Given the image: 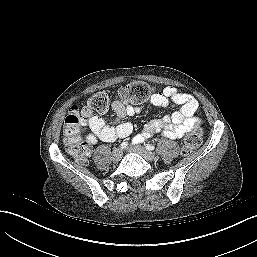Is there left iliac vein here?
<instances>
[{
	"instance_id": "obj_1",
	"label": "left iliac vein",
	"mask_w": 257,
	"mask_h": 257,
	"mask_svg": "<svg viewBox=\"0 0 257 257\" xmlns=\"http://www.w3.org/2000/svg\"><path fill=\"white\" fill-rule=\"evenodd\" d=\"M130 150L140 154L142 157H144L148 161H153V160L157 159V157L152 152L145 150L141 146H133L130 148Z\"/></svg>"
}]
</instances>
